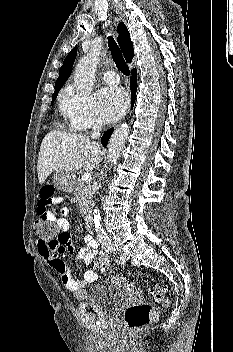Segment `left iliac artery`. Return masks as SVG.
<instances>
[{"mask_svg": "<svg viewBox=\"0 0 233 352\" xmlns=\"http://www.w3.org/2000/svg\"><path fill=\"white\" fill-rule=\"evenodd\" d=\"M107 251L113 253L114 255L116 254V248L113 247V246H110ZM116 261L119 264H124L125 263V260H124V258L122 256L117 257Z\"/></svg>", "mask_w": 233, "mask_h": 352, "instance_id": "1", "label": "left iliac artery"}]
</instances>
